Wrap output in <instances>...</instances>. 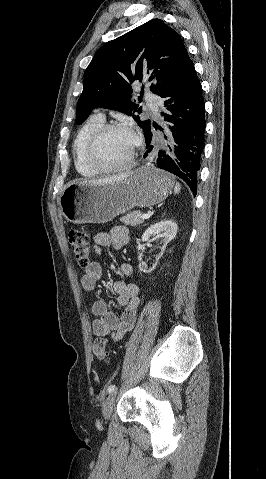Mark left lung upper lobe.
<instances>
[{"mask_svg":"<svg viewBox=\"0 0 266 479\" xmlns=\"http://www.w3.org/2000/svg\"><path fill=\"white\" fill-rule=\"evenodd\" d=\"M154 69L149 80L157 77L151 91L161 97L192 62L180 35L160 19H152L132 31L104 44L94 55L84 77V89L79 98L76 123L81 124L94 107L132 115L141 112L132 97L131 84L143 80V59ZM136 63L135 70L131 63ZM143 93V90L141 91ZM134 120L144 133L150 120Z\"/></svg>","mask_w":266,"mask_h":479,"instance_id":"obj_1","label":"left lung upper lobe"}]
</instances>
